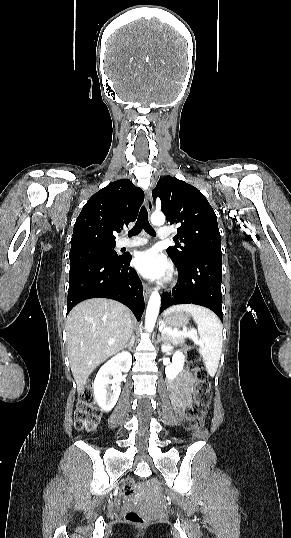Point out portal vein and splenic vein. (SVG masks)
I'll return each mask as SVG.
<instances>
[{
  "instance_id": "portal-vein-and-splenic-vein-1",
  "label": "portal vein and splenic vein",
  "mask_w": 291,
  "mask_h": 538,
  "mask_svg": "<svg viewBox=\"0 0 291 538\" xmlns=\"http://www.w3.org/2000/svg\"><path fill=\"white\" fill-rule=\"evenodd\" d=\"M164 331H166L170 335H183V336H186V337H190L196 344L203 345L202 341L199 340L195 336V331L179 332V331H172V330H166V329H164Z\"/></svg>"
}]
</instances>
